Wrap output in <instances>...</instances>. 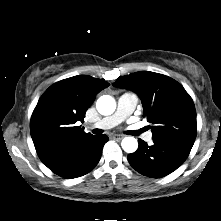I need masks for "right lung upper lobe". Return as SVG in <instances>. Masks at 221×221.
<instances>
[{
	"label": "right lung upper lobe",
	"instance_id": "right-lung-upper-lobe-1",
	"mask_svg": "<svg viewBox=\"0 0 221 221\" xmlns=\"http://www.w3.org/2000/svg\"><path fill=\"white\" fill-rule=\"evenodd\" d=\"M109 86L88 75L70 77L51 85L40 97L30 121L31 137L41 161L53 169L89 138L77 122H84L96 95Z\"/></svg>",
	"mask_w": 221,
	"mask_h": 221
}]
</instances>
